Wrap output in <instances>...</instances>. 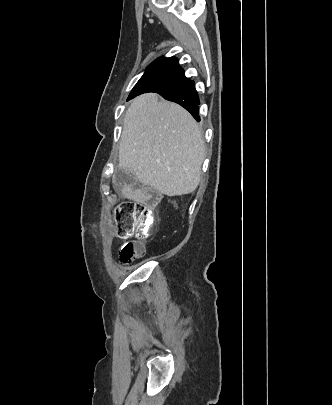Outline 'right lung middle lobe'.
Masks as SVG:
<instances>
[{
	"mask_svg": "<svg viewBox=\"0 0 332 405\" xmlns=\"http://www.w3.org/2000/svg\"><path fill=\"white\" fill-rule=\"evenodd\" d=\"M184 81H186L184 77L157 72H145L134 86L133 91H138L139 93L163 91L179 85Z\"/></svg>",
	"mask_w": 332,
	"mask_h": 405,
	"instance_id": "obj_1",
	"label": "right lung middle lobe"
}]
</instances>
